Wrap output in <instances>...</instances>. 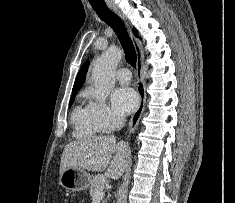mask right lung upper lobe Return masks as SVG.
Segmentation results:
<instances>
[{"label":"right lung upper lobe","mask_w":235,"mask_h":203,"mask_svg":"<svg viewBox=\"0 0 235 203\" xmlns=\"http://www.w3.org/2000/svg\"><path fill=\"white\" fill-rule=\"evenodd\" d=\"M133 32L136 34V29H134ZM88 66H89V61L84 63V65L81 67V69L76 77L74 86H73V90H72L73 92L78 90L82 86V84L84 83L85 76H86V73L88 70Z\"/></svg>","instance_id":"cb5924a9"}]
</instances>
